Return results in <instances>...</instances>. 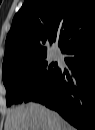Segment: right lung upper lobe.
Here are the masks:
<instances>
[{
	"mask_svg": "<svg viewBox=\"0 0 95 130\" xmlns=\"http://www.w3.org/2000/svg\"><path fill=\"white\" fill-rule=\"evenodd\" d=\"M93 33V0H26L6 39L3 71L46 57V46L56 37L62 51Z\"/></svg>",
	"mask_w": 95,
	"mask_h": 130,
	"instance_id": "right-lung-upper-lobe-1",
	"label": "right lung upper lobe"
}]
</instances>
